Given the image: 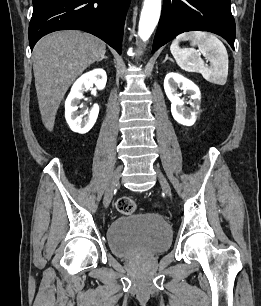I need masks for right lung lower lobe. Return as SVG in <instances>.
Returning a JSON list of instances; mask_svg holds the SVG:
<instances>
[{"mask_svg": "<svg viewBox=\"0 0 261 306\" xmlns=\"http://www.w3.org/2000/svg\"><path fill=\"white\" fill-rule=\"evenodd\" d=\"M130 0H33L29 44L44 35L79 29L91 33L121 54L125 15Z\"/></svg>", "mask_w": 261, "mask_h": 306, "instance_id": "98d812e1", "label": "right lung lower lobe"}]
</instances>
